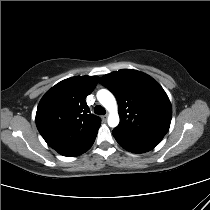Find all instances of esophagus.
Segmentation results:
<instances>
[{
	"mask_svg": "<svg viewBox=\"0 0 210 210\" xmlns=\"http://www.w3.org/2000/svg\"><path fill=\"white\" fill-rule=\"evenodd\" d=\"M101 119H102V121H106L107 120V115H103V116H101Z\"/></svg>",
	"mask_w": 210,
	"mask_h": 210,
	"instance_id": "34e87169",
	"label": "esophagus"
}]
</instances>
